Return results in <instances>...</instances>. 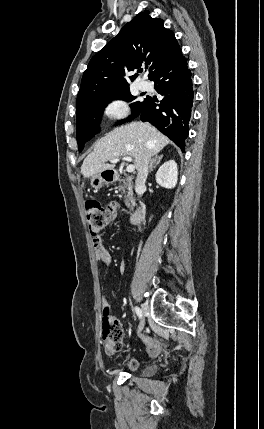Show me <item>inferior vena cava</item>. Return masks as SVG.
I'll list each match as a JSON object with an SVG mask.
<instances>
[{"label":"inferior vena cava","mask_w":264,"mask_h":429,"mask_svg":"<svg viewBox=\"0 0 264 429\" xmlns=\"http://www.w3.org/2000/svg\"><path fill=\"white\" fill-rule=\"evenodd\" d=\"M149 162H150V156L146 155L143 158V160H142L139 168L137 169L138 170V174H137V178H136V181H135V191L138 194V196H140V197L143 194V190H144V187H145V182H146V179H147V176H148V165H149Z\"/></svg>","instance_id":"602c4592"}]
</instances>
